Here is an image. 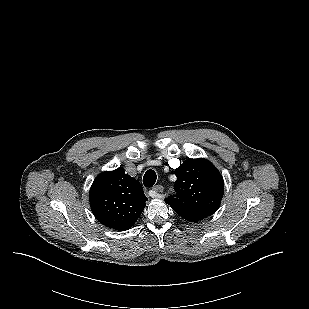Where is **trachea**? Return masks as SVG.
I'll return each instance as SVG.
<instances>
[{"label": "trachea", "instance_id": "1", "mask_svg": "<svg viewBox=\"0 0 309 309\" xmlns=\"http://www.w3.org/2000/svg\"><path fill=\"white\" fill-rule=\"evenodd\" d=\"M157 179V175L154 170H148L143 177V183L146 187H152Z\"/></svg>", "mask_w": 309, "mask_h": 309}]
</instances>
